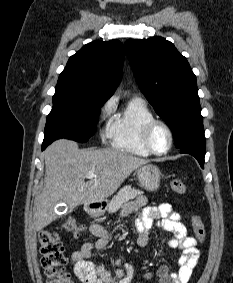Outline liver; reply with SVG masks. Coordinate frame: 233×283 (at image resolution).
<instances>
[{
	"mask_svg": "<svg viewBox=\"0 0 233 283\" xmlns=\"http://www.w3.org/2000/svg\"><path fill=\"white\" fill-rule=\"evenodd\" d=\"M45 177L36 198L35 229L40 231L58 218L59 202L70 209L111 196L137 168L149 161L114 149L80 150L71 140L53 142L44 152ZM96 177L85 182L86 174Z\"/></svg>",
	"mask_w": 233,
	"mask_h": 283,
	"instance_id": "obj_1",
	"label": "liver"
}]
</instances>
